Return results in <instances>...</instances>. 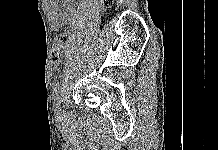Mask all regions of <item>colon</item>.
<instances>
[{
  "mask_svg": "<svg viewBox=\"0 0 218 150\" xmlns=\"http://www.w3.org/2000/svg\"><path fill=\"white\" fill-rule=\"evenodd\" d=\"M113 0H103V6L104 7H109L112 4ZM67 45V35L65 33H59L55 36L53 40V46H52V59L53 61H58Z\"/></svg>",
  "mask_w": 218,
  "mask_h": 150,
  "instance_id": "5ec220e1",
  "label": "colon"
}]
</instances>
